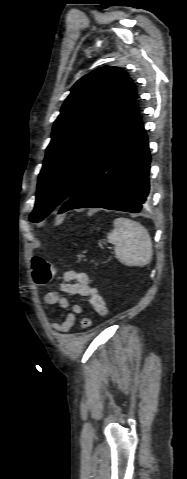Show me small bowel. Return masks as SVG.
<instances>
[{"label": "small bowel", "instance_id": "obj_1", "mask_svg": "<svg viewBox=\"0 0 187 479\" xmlns=\"http://www.w3.org/2000/svg\"><path fill=\"white\" fill-rule=\"evenodd\" d=\"M60 290L69 295L82 296L99 315H106L108 312L106 303L98 289L90 284L88 274L77 270H68L64 273V281ZM43 301L47 305H58L61 309H70V313L61 322H52L51 328L58 332H71L75 328L76 316L82 313L79 304L71 303L69 299L58 292L49 291L45 293Z\"/></svg>", "mask_w": 187, "mask_h": 479}]
</instances>
